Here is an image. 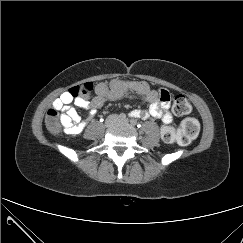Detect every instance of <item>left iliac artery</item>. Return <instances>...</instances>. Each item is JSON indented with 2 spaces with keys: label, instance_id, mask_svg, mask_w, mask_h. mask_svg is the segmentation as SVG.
Segmentation results:
<instances>
[{
  "label": "left iliac artery",
  "instance_id": "1",
  "mask_svg": "<svg viewBox=\"0 0 243 243\" xmlns=\"http://www.w3.org/2000/svg\"><path fill=\"white\" fill-rule=\"evenodd\" d=\"M130 122H131L132 125H137V121H136L135 119H131ZM139 126H141V125H138V127H139Z\"/></svg>",
  "mask_w": 243,
  "mask_h": 243
}]
</instances>
